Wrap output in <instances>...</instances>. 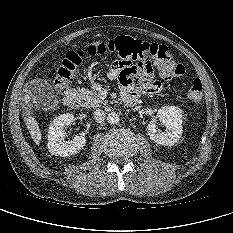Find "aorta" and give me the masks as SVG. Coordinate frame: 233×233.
<instances>
[{
    "instance_id": "aorta-1",
    "label": "aorta",
    "mask_w": 233,
    "mask_h": 233,
    "mask_svg": "<svg viewBox=\"0 0 233 233\" xmlns=\"http://www.w3.org/2000/svg\"><path fill=\"white\" fill-rule=\"evenodd\" d=\"M119 120H120V117L117 113L115 112H111L107 115V121L109 124L111 125H115V124H118L119 123Z\"/></svg>"
}]
</instances>
